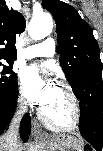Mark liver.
I'll list each match as a JSON object with an SVG mask.
<instances>
[{
	"label": "liver",
	"mask_w": 103,
	"mask_h": 151,
	"mask_svg": "<svg viewBox=\"0 0 103 151\" xmlns=\"http://www.w3.org/2000/svg\"><path fill=\"white\" fill-rule=\"evenodd\" d=\"M4 145H5V142L3 143V146L1 145V151H6L5 150L6 148L4 147ZM14 149H15L14 151H21L22 150V143L19 140L17 141V145L15 146Z\"/></svg>",
	"instance_id": "obj_1"
}]
</instances>
